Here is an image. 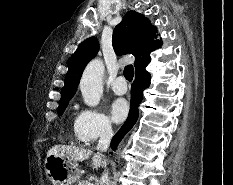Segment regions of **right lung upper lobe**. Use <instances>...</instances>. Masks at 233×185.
<instances>
[{"mask_svg": "<svg viewBox=\"0 0 233 185\" xmlns=\"http://www.w3.org/2000/svg\"><path fill=\"white\" fill-rule=\"evenodd\" d=\"M156 31V27L143 15L128 11L114 29L113 48L118 55L133 54L136 58V71L146 68L151 61L150 53L162 44L161 41L154 40ZM98 49L99 42L96 37H90L80 44L70 60L60 102L69 101L73 97L85 66L96 56Z\"/></svg>", "mask_w": 233, "mask_h": 185, "instance_id": "1", "label": "right lung upper lobe"}]
</instances>
